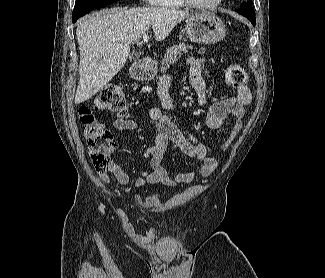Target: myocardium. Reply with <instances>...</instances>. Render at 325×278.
I'll return each instance as SVG.
<instances>
[{"label": "myocardium", "mask_w": 325, "mask_h": 278, "mask_svg": "<svg viewBox=\"0 0 325 278\" xmlns=\"http://www.w3.org/2000/svg\"><path fill=\"white\" fill-rule=\"evenodd\" d=\"M181 1L184 5L194 8V9L211 10V9H214L217 6H219L223 0H215L209 4H200V3L195 2L194 0H181Z\"/></svg>", "instance_id": "f54148a6"}]
</instances>
